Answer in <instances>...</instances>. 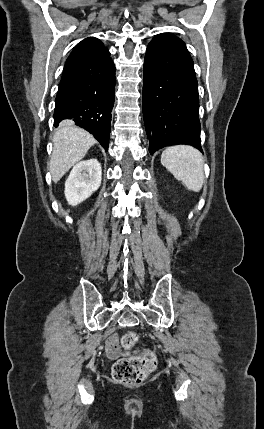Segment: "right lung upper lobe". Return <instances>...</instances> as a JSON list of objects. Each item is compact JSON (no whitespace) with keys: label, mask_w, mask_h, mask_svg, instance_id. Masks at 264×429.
<instances>
[{"label":"right lung upper lobe","mask_w":264,"mask_h":429,"mask_svg":"<svg viewBox=\"0 0 264 429\" xmlns=\"http://www.w3.org/2000/svg\"><path fill=\"white\" fill-rule=\"evenodd\" d=\"M106 49L97 38L89 37L84 39L73 49L67 58L64 71L100 54Z\"/></svg>","instance_id":"right-lung-upper-lobe-1"}]
</instances>
